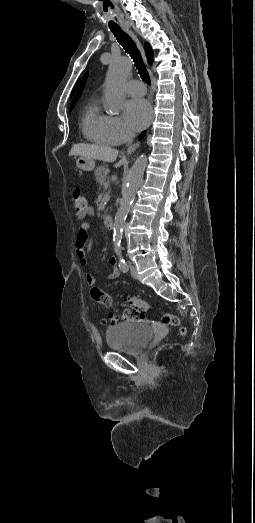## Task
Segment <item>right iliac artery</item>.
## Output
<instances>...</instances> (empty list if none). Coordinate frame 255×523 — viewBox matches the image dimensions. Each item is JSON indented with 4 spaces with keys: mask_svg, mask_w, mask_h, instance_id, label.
<instances>
[{
    "mask_svg": "<svg viewBox=\"0 0 255 523\" xmlns=\"http://www.w3.org/2000/svg\"><path fill=\"white\" fill-rule=\"evenodd\" d=\"M119 268L122 272H127L128 271V264L126 261H121L119 263Z\"/></svg>",
    "mask_w": 255,
    "mask_h": 523,
    "instance_id": "1",
    "label": "right iliac artery"
}]
</instances>
